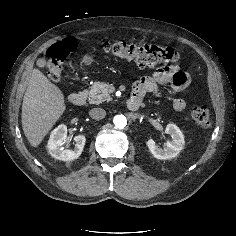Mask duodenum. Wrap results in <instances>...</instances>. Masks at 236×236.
<instances>
[{
    "mask_svg": "<svg viewBox=\"0 0 236 236\" xmlns=\"http://www.w3.org/2000/svg\"><path fill=\"white\" fill-rule=\"evenodd\" d=\"M86 100V95L84 92H76L70 95L69 101L74 106H81ZM141 97L137 95H132L127 101L128 109L135 111L140 107Z\"/></svg>",
    "mask_w": 236,
    "mask_h": 236,
    "instance_id": "obj_1",
    "label": "duodenum"
}]
</instances>
